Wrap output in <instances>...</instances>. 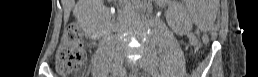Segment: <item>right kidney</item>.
<instances>
[{"label": "right kidney", "instance_id": "obj_1", "mask_svg": "<svg viewBox=\"0 0 258 77\" xmlns=\"http://www.w3.org/2000/svg\"><path fill=\"white\" fill-rule=\"evenodd\" d=\"M82 10L89 11L92 13V18L97 19L105 13V8L99 4H86L82 7Z\"/></svg>", "mask_w": 258, "mask_h": 77}]
</instances>
